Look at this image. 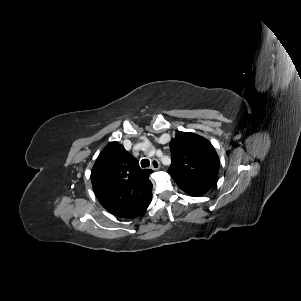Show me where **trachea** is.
<instances>
[{
  "label": "trachea",
  "instance_id": "1",
  "mask_svg": "<svg viewBox=\"0 0 301 301\" xmlns=\"http://www.w3.org/2000/svg\"><path fill=\"white\" fill-rule=\"evenodd\" d=\"M150 166V161L148 159L141 160V167L146 168Z\"/></svg>",
  "mask_w": 301,
  "mask_h": 301
}]
</instances>
